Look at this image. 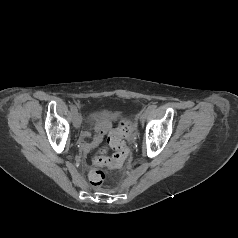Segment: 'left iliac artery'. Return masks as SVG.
Instances as JSON below:
<instances>
[{
  "label": "left iliac artery",
  "mask_w": 238,
  "mask_h": 238,
  "mask_svg": "<svg viewBox=\"0 0 238 238\" xmlns=\"http://www.w3.org/2000/svg\"><path fill=\"white\" fill-rule=\"evenodd\" d=\"M155 108H156L155 105H151V106H149V107L147 108V111H148V112H152V111L155 110Z\"/></svg>",
  "instance_id": "obj_1"
}]
</instances>
